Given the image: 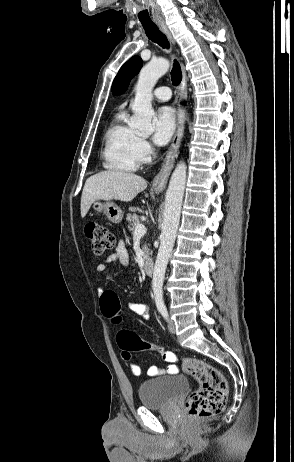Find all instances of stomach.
Wrapping results in <instances>:
<instances>
[{
	"label": "stomach",
	"instance_id": "1",
	"mask_svg": "<svg viewBox=\"0 0 294 462\" xmlns=\"http://www.w3.org/2000/svg\"><path fill=\"white\" fill-rule=\"evenodd\" d=\"M92 209L97 213L103 212L112 223H120L123 219V212L120 207L110 200L106 202L97 200L93 202Z\"/></svg>",
	"mask_w": 294,
	"mask_h": 462
}]
</instances>
